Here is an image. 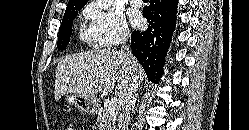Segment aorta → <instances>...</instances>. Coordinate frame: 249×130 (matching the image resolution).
<instances>
[{
	"label": "aorta",
	"instance_id": "aorta-1",
	"mask_svg": "<svg viewBox=\"0 0 249 130\" xmlns=\"http://www.w3.org/2000/svg\"><path fill=\"white\" fill-rule=\"evenodd\" d=\"M97 3L101 9L108 10L113 4V0H97Z\"/></svg>",
	"mask_w": 249,
	"mask_h": 130
}]
</instances>
